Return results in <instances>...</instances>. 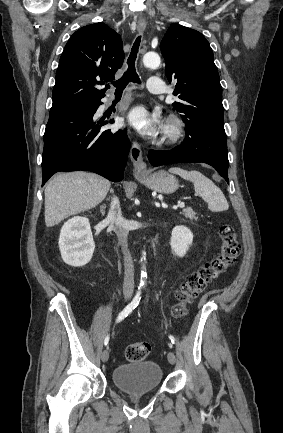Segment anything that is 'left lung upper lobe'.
<instances>
[{
	"instance_id": "1",
	"label": "left lung upper lobe",
	"mask_w": 283,
	"mask_h": 433,
	"mask_svg": "<svg viewBox=\"0 0 283 433\" xmlns=\"http://www.w3.org/2000/svg\"><path fill=\"white\" fill-rule=\"evenodd\" d=\"M168 81L176 83L173 94L180 101L173 107L186 126L216 124L224 128L222 87L213 51L204 36L193 29L173 24L161 44Z\"/></svg>"
}]
</instances>
